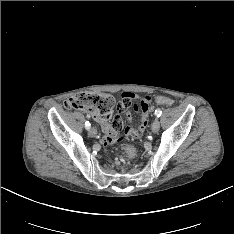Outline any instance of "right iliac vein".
Segmentation results:
<instances>
[{"label":"right iliac vein","instance_id":"63e3f726","mask_svg":"<svg viewBox=\"0 0 234 234\" xmlns=\"http://www.w3.org/2000/svg\"><path fill=\"white\" fill-rule=\"evenodd\" d=\"M89 135L91 137H95L97 135V130L95 128H90L89 129Z\"/></svg>","mask_w":234,"mask_h":234}]
</instances>
